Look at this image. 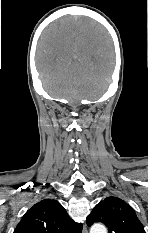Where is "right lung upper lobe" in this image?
I'll use <instances>...</instances> for the list:
<instances>
[{"label":"right lung upper lobe","mask_w":148,"mask_h":233,"mask_svg":"<svg viewBox=\"0 0 148 233\" xmlns=\"http://www.w3.org/2000/svg\"><path fill=\"white\" fill-rule=\"evenodd\" d=\"M82 225L73 221L59 202L44 199L31 207L14 233H81Z\"/></svg>","instance_id":"1"}]
</instances>
